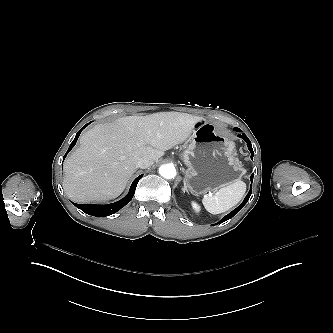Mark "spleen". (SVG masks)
I'll list each match as a JSON object with an SVG mask.
<instances>
[{"label": "spleen", "mask_w": 333, "mask_h": 333, "mask_svg": "<svg viewBox=\"0 0 333 333\" xmlns=\"http://www.w3.org/2000/svg\"><path fill=\"white\" fill-rule=\"evenodd\" d=\"M246 192V183L242 180L220 188L214 195L204 196L202 203L211 214H220L236 206Z\"/></svg>", "instance_id": "spleen-1"}]
</instances>
